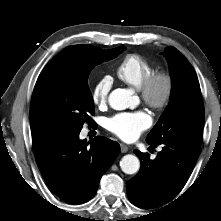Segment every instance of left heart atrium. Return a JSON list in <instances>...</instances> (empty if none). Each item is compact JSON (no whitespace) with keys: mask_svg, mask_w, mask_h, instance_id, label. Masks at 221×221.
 Listing matches in <instances>:
<instances>
[{"mask_svg":"<svg viewBox=\"0 0 221 221\" xmlns=\"http://www.w3.org/2000/svg\"><path fill=\"white\" fill-rule=\"evenodd\" d=\"M151 125L150 116L143 112H124L107 120V128L125 141L136 139Z\"/></svg>","mask_w":221,"mask_h":221,"instance_id":"1","label":"left heart atrium"}]
</instances>
